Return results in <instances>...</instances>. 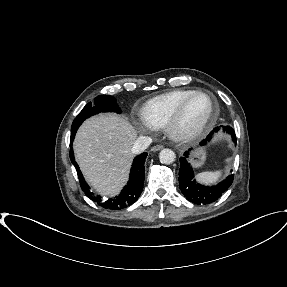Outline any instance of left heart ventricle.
I'll list each match as a JSON object with an SVG mask.
<instances>
[{"label":"left heart ventricle","mask_w":287,"mask_h":287,"mask_svg":"<svg viewBox=\"0 0 287 287\" xmlns=\"http://www.w3.org/2000/svg\"><path fill=\"white\" fill-rule=\"evenodd\" d=\"M210 109L207 98L198 96L193 98L186 107L182 125L184 128H193L200 124Z\"/></svg>","instance_id":"b2bd125f"}]
</instances>
